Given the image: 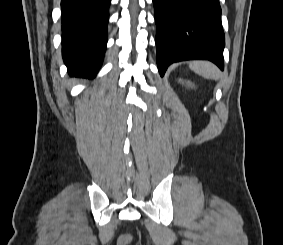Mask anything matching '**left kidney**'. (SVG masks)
Listing matches in <instances>:
<instances>
[{
	"instance_id": "obj_1",
	"label": "left kidney",
	"mask_w": 283,
	"mask_h": 245,
	"mask_svg": "<svg viewBox=\"0 0 283 245\" xmlns=\"http://www.w3.org/2000/svg\"><path fill=\"white\" fill-rule=\"evenodd\" d=\"M179 82L182 83V84L185 83L188 87H191V88L194 87V84L192 82H190V81H185L184 82L182 79H179Z\"/></svg>"
}]
</instances>
